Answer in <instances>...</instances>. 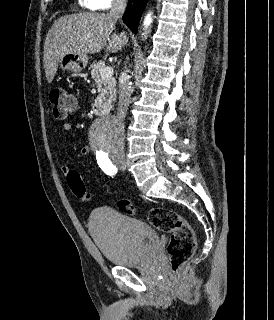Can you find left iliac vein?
I'll return each instance as SVG.
<instances>
[{
    "instance_id": "obj_1",
    "label": "left iliac vein",
    "mask_w": 274,
    "mask_h": 320,
    "mask_svg": "<svg viewBox=\"0 0 274 320\" xmlns=\"http://www.w3.org/2000/svg\"><path fill=\"white\" fill-rule=\"evenodd\" d=\"M117 167L119 170L124 171L126 169V163L123 161L122 163L116 162Z\"/></svg>"
}]
</instances>
